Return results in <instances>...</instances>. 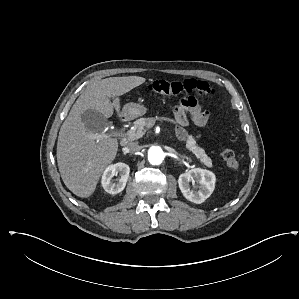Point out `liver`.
Returning a JSON list of instances; mask_svg holds the SVG:
<instances>
[{
  "label": "liver",
  "mask_w": 299,
  "mask_h": 299,
  "mask_svg": "<svg viewBox=\"0 0 299 299\" xmlns=\"http://www.w3.org/2000/svg\"><path fill=\"white\" fill-rule=\"evenodd\" d=\"M139 76L110 77L92 81L79 96L63 122L57 142V163L66 187L81 198L93 194L105 168L118 151L116 138L97 141L91 134L103 130L114 109L120 116L119 96L143 84ZM110 98H114L111 102Z\"/></svg>",
  "instance_id": "liver-1"
}]
</instances>
